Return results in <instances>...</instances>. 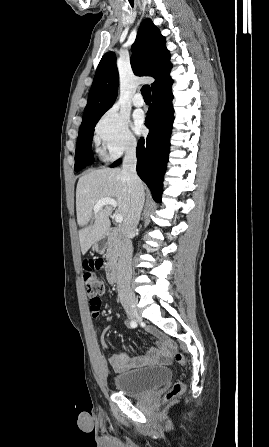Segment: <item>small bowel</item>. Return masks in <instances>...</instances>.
<instances>
[{
    "mask_svg": "<svg viewBox=\"0 0 269 447\" xmlns=\"http://www.w3.org/2000/svg\"><path fill=\"white\" fill-rule=\"evenodd\" d=\"M148 332L157 341L158 348L146 356H130L128 352L113 354L109 357V363L116 372H124L136 367L150 364H168L172 361L174 347L165 339L162 332L149 328ZM106 347V344H104Z\"/></svg>",
    "mask_w": 269,
    "mask_h": 447,
    "instance_id": "obj_1",
    "label": "small bowel"
}]
</instances>
